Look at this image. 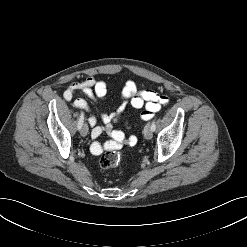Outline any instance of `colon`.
Here are the masks:
<instances>
[{
    "instance_id": "1",
    "label": "colon",
    "mask_w": 247,
    "mask_h": 247,
    "mask_svg": "<svg viewBox=\"0 0 247 247\" xmlns=\"http://www.w3.org/2000/svg\"><path fill=\"white\" fill-rule=\"evenodd\" d=\"M135 141L136 140H132L133 143H135ZM109 149L110 150L104 152L99 159V165L103 169L116 168L120 164L122 159V154L119 151V141H113Z\"/></svg>"
}]
</instances>
